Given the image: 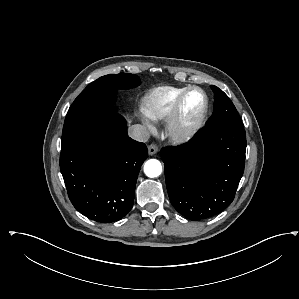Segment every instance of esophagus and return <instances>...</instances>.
<instances>
[{"label":"esophagus","mask_w":299,"mask_h":299,"mask_svg":"<svg viewBox=\"0 0 299 299\" xmlns=\"http://www.w3.org/2000/svg\"><path fill=\"white\" fill-rule=\"evenodd\" d=\"M157 151H158V146L156 144L149 145V147H148V154L149 155L152 156V155L156 154Z\"/></svg>","instance_id":"esophagus-1"}]
</instances>
